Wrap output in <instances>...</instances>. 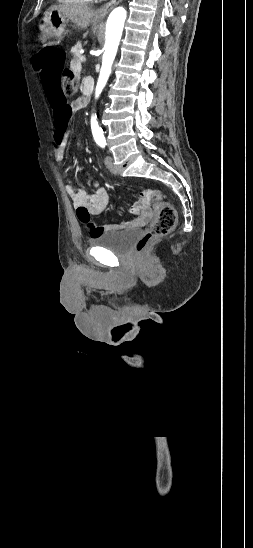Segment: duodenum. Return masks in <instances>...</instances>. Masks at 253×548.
I'll return each instance as SVG.
<instances>
[{
	"label": "duodenum",
	"mask_w": 253,
	"mask_h": 548,
	"mask_svg": "<svg viewBox=\"0 0 253 548\" xmlns=\"http://www.w3.org/2000/svg\"><path fill=\"white\" fill-rule=\"evenodd\" d=\"M93 81L92 80H87L84 84V87H83V93L86 97H89L92 92H93Z\"/></svg>",
	"instance_id": "410a0bca"
}]
</instances>
